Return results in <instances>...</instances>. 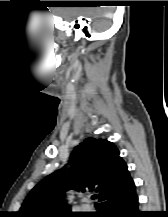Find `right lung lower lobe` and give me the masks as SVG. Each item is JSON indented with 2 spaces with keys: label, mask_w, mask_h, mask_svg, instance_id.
Here are the masks:
<instances>
[{
  "label": "right lung lower lobe",
  "mask_w": 168,
  "mask_h": 217,
  "mask_svg": "<svg viewBox=\"0 0 168 217\" xmlns=\"http://www.w3.org/2000/svg\"><path fill=\"white\" fill-rule=\"evenodd\" d=\"M138 207V196L134 186L126 194L107 202L100 208V212L92 217H144Z\"/></svg>",
  "instance_id": "98d812e1"
}]
</instances>
